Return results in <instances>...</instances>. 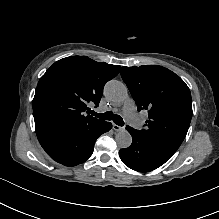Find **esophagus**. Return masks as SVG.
<instances>
[{"label":"esophagus","instance_id":"esophagus-1","mask_svg":"<svg viewBox=\"0 0 219 219\" xmlns=\"http://www.w3.org/2000/svg\"><path fill=\"white\" fill-rule=\"evenodd\" d=\"M113 129L115 130V131H123L125 128L124 127H122V126H119V125H117V124H113Z\"/></svg>","mask_w":219,"mask_h":219}]
</instances>
